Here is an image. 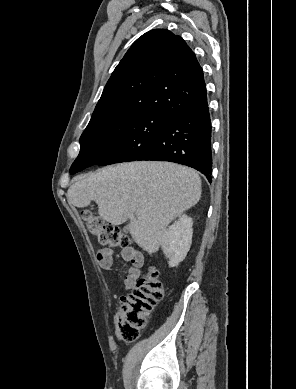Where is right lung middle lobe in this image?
Here are the masks:
<instances>
[{"mask_svg": "<svg viewBox=\"0 0 296 389\" xmlns=\"http://www.w3.org/2000/svg\"><path fill=\"white\" fill-rule=\"evenodd\" d=\"M158 113L112 112L91 118L80 138L81 149L70 170L86 164L135 161L171 121Z\"/></svg>", "mask_w": 296, "mask_h": 389, "instance_id": "1", "label": "right lung middle lobe"}]
</instances>
